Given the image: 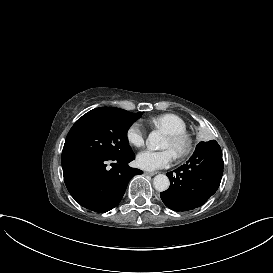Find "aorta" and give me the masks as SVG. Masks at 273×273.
<instances>
[{
    "label": "aorta",
    "mask_w": 273,
    "mask_h": 273,
    "mask_svg": "<svg viewBox=\"0 0 273 273\" xmlns=\"http://www.w3.org/2000/svg\"><path fill=\"white\" fill-rule=\"evenodd\" d=\"M164 138L159 131H152L147 140L146 144L153 150H157L163 147ZM153 185L159 192L166 191L170 186L169 178L164 174H158L154 177Z\"/></svg>",
    "instance_id": "obj_1"
}]
</instances>
